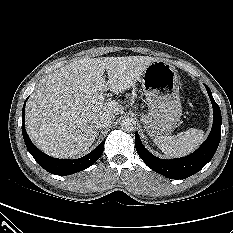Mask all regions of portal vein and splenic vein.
<instances>
[{
  "label": "portal vein and splenic vein",
  "instance_id": "obj_1",
  "mask_svg": "<svg viewBox=\"0 0 233 233\" xmlns=\"http://www.w3.org/2000/svg\"><path fill=\"white\" fill-rule=\"evenodd\" d=\"M104 100H105V96L103 94H97L95 96V101H98L99 103L104 102Z\"/></svg>",
  "mask_w": 233,
  "mask_h": 233
}]
</instances>
